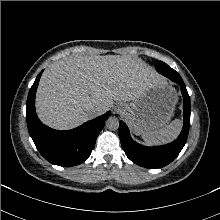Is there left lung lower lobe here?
I'll return each instance as SVG.
<instances>
[{"label":"left lung lower lobe","instance_id":"left-lung-lower-lobe-1","mask_svg":"<svg viewBox=\"0 0 220 220\" xmlns=\"http://www.w3.org/2000/svg\"><path fill=\"white\" fill-rule=\"evenodd\" d=\"M157 71L181 87L183 95L184 124L179 137L172 143L163 146L145 147L132 140L127 125L119 122V137L126 156L139 166L161 168L171 163L184 147L190 127V97L181 76L167 64L156 67Z\"/></svg>","mask_w":220,"mask_h":220}]
</instances>
